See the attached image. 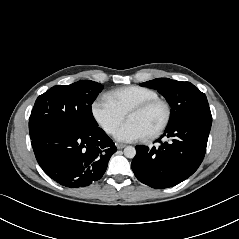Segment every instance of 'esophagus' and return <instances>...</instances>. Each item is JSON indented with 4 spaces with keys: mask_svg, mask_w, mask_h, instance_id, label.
Returning a JSON list of instances; mask_svg holds the SVG:
<instances>
[{
    "mask_svg": "<svg viewBox=\"0 0 239 239\" xmlns=\"http://www.w3.org/2000/svg\"><path fill=\"white\" fill-rule=\"evenodd\" d=\"M125 146H126V145L120 144V143H117V144H116L117 149H123Z\"/></svg>",
    "mask_w": 239,
    "mask_h": 239,
    "instance_id": "34e87169",
    "label": "esophagus"
}]
</instances>
